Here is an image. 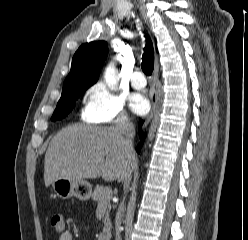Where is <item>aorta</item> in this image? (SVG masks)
<instances>
[{
  "label": "aorta",
  "mask_w": 248,
  "mask_h": 240,
  "mask_svg": "<svg viewBox=\"0 0 248 240\" xmlns=\"http://www.w3.org/2000/svg\"><path fill=\"white\" fill-rule=\"evenodd\" d=\"M104 79H105L107 86L110 89L112 90L116 89L117 83H118V77L116 73V68L113 63L109 64L107 68L105 69Z\"/></svg>",
  "instance_id": "obj_1"
}]
</instances>
